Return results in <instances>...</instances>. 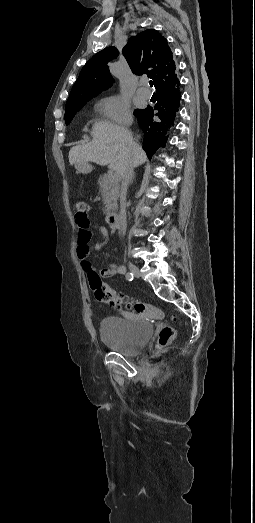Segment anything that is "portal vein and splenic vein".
Instances as JSON below:
<instances>
[{
    "instance_id": "obj_1",
    "label": "portal vein and splenic vein",
    "mask_w": 255,
    "mask_h": 523,
    "mask_svg": "<svg viewBox=\"0 0 255 523\" xmlns=\"http://www.w3.org/2000/svg\"><path fill=\"white\" fill-rule=\"evenodd\" d=\"M109 173L111 175H115L117 173L116 166H111V169L109 170Z\"/></svg>"
}]
</instances>
